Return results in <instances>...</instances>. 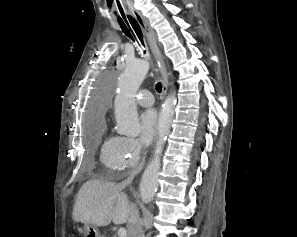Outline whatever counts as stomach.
<instances>
[{"label":"stomach","instance_id":"obj_1","mask_svg":"<svg viewBox=\"0 0 297 237\" xmlns=\"http://www.w3.org/2000/svg\"><path fill=\"white\" fill-rule=\"evenodd\" d=\"M85 237H102L97 226L92 224H85L83 227Z\"/></svg>","mask_w":297,"mask_h":237}]
</instances>
